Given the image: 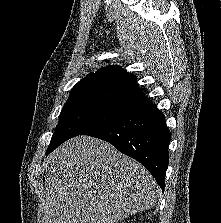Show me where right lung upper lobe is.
Segmentation results:
<instances>
[{"instance_id":"1","label":"right lung upper lobe","mask_w":221,"mask_h":223,"mask_svg":"<svg viewBox=\"0 0 221 223\" xmlns=\"http://www.w3.org/2000/svg\"><path fill=\"white\" fill-rule=\"evenodd\" d=\"M102 99L138 107L149 102L137 78L119 66H107L89 74L72 89L67 101L78 99Z\"/></svg>"}]
</instances>
